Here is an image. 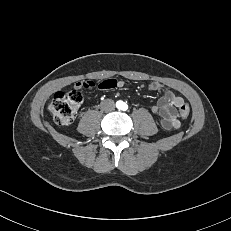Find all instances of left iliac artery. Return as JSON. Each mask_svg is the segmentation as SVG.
Instances as JSON below:
<instances>
[{
	"instance_id": "left-iliac-artery-1",
	"label": "left iliac artery",
	"mask_w": 231,
	"mask_h": 231,
	"mask_svg": "<svg viewBox=\"0 0 231 231\" xmlns=\"http://www.w3.org/2000/svg\"><path fill=\"white\" fill-rule=\"evenodd\" d=\"M128 109V105L127 104H123V106H122V110H127Z\"/></svg>"
}]
</instances>
